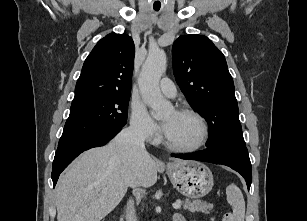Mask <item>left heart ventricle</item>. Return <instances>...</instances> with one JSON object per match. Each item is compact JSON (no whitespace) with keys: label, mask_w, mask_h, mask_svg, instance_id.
<instances>
[{"label":"left heart ventricle","mask_w":307,"mask_h":221,"mask_svg":"<svg viewBox=\"0 0 307 221\" xmlns=\"http://www.w3.org/2000/svg\"><path fill=\"white\" fill-rule=\"evenodd\" d=\"M163 122L168 125L165 132L167 139L175 145L188 146L200 137V125L190 115L171 111L163 117Z\"/></svg>","instance_id":"1"}]
</instances>
